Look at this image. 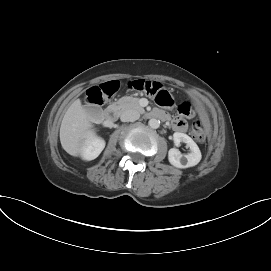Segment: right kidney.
<instances>
[{"label": "right kidney", "mask_w": 271, "mask_h": 271, "mask_svg": "<svg viewBox=\"0 0 271 271\" xmlns=\"http://www.w3.org/2000/svg\"><path fill=\"white\" fill-rule=\"evenodd\" d=\"M105 147V141L95 135L86 139L82 147L81 156L84 160L90 161L97 158Z\"/></svg>", "instance_id": "ca27d5eb"}]
</instances>
